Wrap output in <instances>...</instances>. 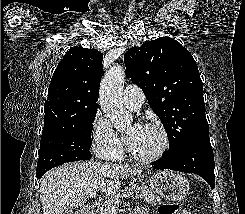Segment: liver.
Segmentation results:
<instances>
[{"instance_id":"obj_1","label":"liver","mask_w":245,"mask_h":214,"mask_svg":"<svg viewBox=\"0 0 245 214\" xmlns=\"http://www.w3.org/2000/svg\"><path fill=\"white\" fill-rule=\"evenodd\" d=\"M140 172V169L96 161L68 163L54 168L40 180L43 214H62L72 207L82 206L92 191L112 195L118 190L121 178Z\"/></svg>"}]
</instances>
